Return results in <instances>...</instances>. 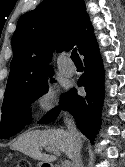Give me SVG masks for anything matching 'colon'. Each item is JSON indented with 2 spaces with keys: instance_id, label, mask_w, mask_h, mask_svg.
<instances>
[{
  "instance_id": "obj_1",
  "label": "colon",
  "mask_w": 125,
  "mask_h": 167,
  "mask_svg": "<svg viewBox=\"0 0 125 167\" xmlns=\"http://www.w3.org/2000/svg\"><path fill=\"white\" fill-rule=\"evenodd\" d=\"M16 167H32L31 163L27 160H21L17 163Z\"/></svg>"
}]
</instances>
